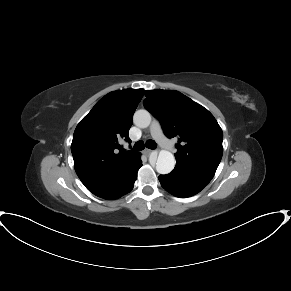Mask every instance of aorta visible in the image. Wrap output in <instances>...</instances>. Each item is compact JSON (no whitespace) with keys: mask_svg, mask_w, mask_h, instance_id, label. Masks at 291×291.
<instances>
[{"mask_svg":"<svg viewBox=\"0 0 291 291\" xmlns=\"http://www.w3.org/2000/svg\"><path fill=\"white\" fill-rule=\"evenodd\" d=\"M134 124L139 128H146L151 123V114L144 109L137 110L133 116ZM175 167L174 155L166 150L159 152L158 159L156 162V171L159 174H168Z\"/></svg>","mask_w":291,"mask_h":291,"instance_id":"762f6f07","label":"aorta"}]
</instances>
